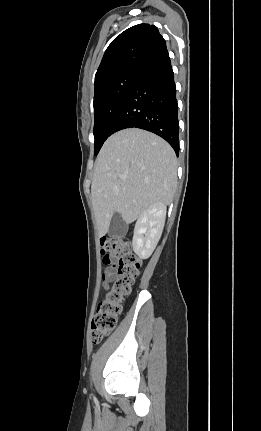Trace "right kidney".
I'll return each mask as SVG.
<instances>
[{"mask_svg":"<svg viewBox=\"0 0 261 431\" xmlns=\"http://www.w3.org/2000/svg\"><path fill=\"white\" fill-rule=\"evenodd\" d=\"M166 206L153 204L138 218L132 240L134 252L141 258L147 259L153 253L164 228Z\"/></svg>","mask_w":261,"mask_h":431,"instance_id":"right-kidney-1","label":"right kidney"}]
</instances>
